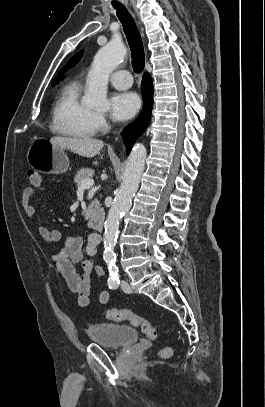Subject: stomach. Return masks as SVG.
Segmentation results:
<instances>
[{
    "label": "stomach",
    "instance_id": "1",
    "mask_svg": "<svg viewBox=\"0 0 265 407\" xmlns=\"http://www.w3.org/2000/svg\"><path fill=\"white\" fill-rule=\"evenodd\" d=\"M27 160L33 169L45 174H63L69 168L64 149L43 139L32 143Z\"/></svg>",
    "mask_w": 265,
    "mask_h": 407
}]
</instances>
